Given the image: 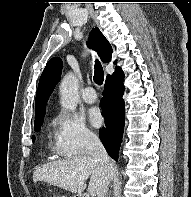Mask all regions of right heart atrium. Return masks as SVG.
Returning a JSON list of instances; mask_svg holds the SVG:
<instances>
[{"label":"right heart atrium","instance_id":"right-heart-atrium-1","mask_svg":"<svg viewBox=\"0 0 191 197\" xmlns=\"http://www.w3.org/2000/svg\"><path fill=\"white\" fill-rule=\"evenodd\" d=\"M54 150L61 156L85 153L97 141V136L84 121L68 113H60L54 120Z\"/></svg>","mask_w":191,"mask_h":197}]
</instances>
